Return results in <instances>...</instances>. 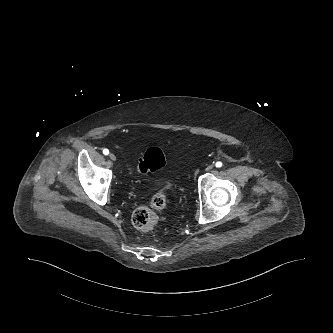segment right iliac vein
Segmentation results:
<instances>
[{
    "instance_id": "1",
    "label": "right iliac vein",
    "mask_w": 333,
    "mask_h": 333,
    "mask_svg": "<svg viewBox=\"0 0 333 333\" xmlns=\"http://www.w3.org/2000/svg\"><path fill=\"white\" fill-rule=\"evenodd\" d=\"M109 157H110V159L113 160V161L116 160V156H115V154H113V153H110V154H109Z\"/></svg>"
}]
</instances>
